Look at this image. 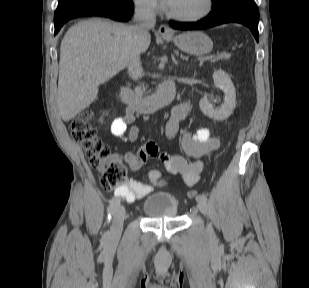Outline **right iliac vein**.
Masks as SVG:
<instances>
[{"mask_svg":"<svg viewBox=\"0 0 309 288\" xmlns=\"http://www.w3.org/2000/svg\"><path fill=\"white\" fill-rule=\"evenodd\" d=\"M125 219V208L123 206H118L113 214V222L110 231V239L112 241L117 240L123 229V223Z\"/></svg>","mask_w":309,"mask_h":288,"instance_id":"right-iliac-vein-1","label":"right iliac vein"}]
</instances>
